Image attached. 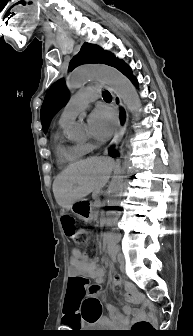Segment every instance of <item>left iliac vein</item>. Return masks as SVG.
<instances>
[{"label": "left iliac vein", "instance_id": "4c4485c4", "mask_svg": "<svg viewBox=\"0 0 193 336\" xmlns=\"http://www.w3.org/2000/svg\"><path fill=\"white\" fill-rule=\"evenodd\" d=\"M118 262H119V264H120V270H121L122 272H124V271H125V258H124L123 255H119V256H118Z\"/></svg>", "mask_w": 193, "mask_h": 336}]
</instances>
